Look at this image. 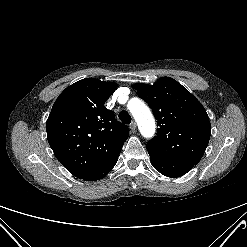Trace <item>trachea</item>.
Returning a JSON list of instances; mask_svg holds the SVG:
<instances>
[{
	"label": "trachea",
	"mask_w": 247,
	"mask_h": 247,
	"mask_svg": "<svg viewBox=\"0 0 247 247\" xmlns=\"http://www.w3.org/2000/svg\"><path fill=\"white\" fill-rule=\"evenodd\" d=\"M119 119L122 121L124 124H130L131 123V116L127 111H122L119 113Z\"/></svg>",
	"instance_id": "obj_1"
}]
</instances>
